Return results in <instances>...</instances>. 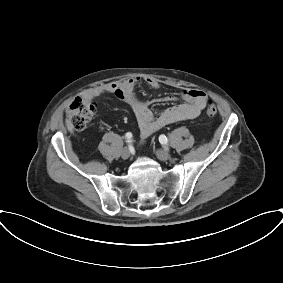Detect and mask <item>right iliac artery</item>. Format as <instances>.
Segmentation results:
<instances>
[{"label":"right iliac artery","mask_w":283,"mask_h":283,"mask_svg":"<svg viewBox=\"0 0 283 283\" xmlns=\"http://www.w3.org/2000/svg\"><path fill=\"white\" fill-rule=\"evenodd\" d=\"M127 142H131L132 134L130 132L126 133Z\"/></svg>","instance_id":"82829eb1"}]
</instances>
